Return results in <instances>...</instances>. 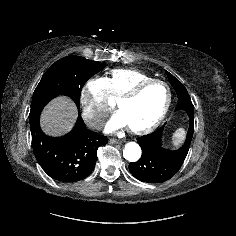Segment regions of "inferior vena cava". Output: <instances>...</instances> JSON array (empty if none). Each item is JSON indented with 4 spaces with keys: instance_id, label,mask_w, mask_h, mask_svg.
<instances>
[{
    "instance_id": "602c4592",
    "label": "inferior vena cava",
    "mask_w": 236,
    "mask_h": 236,
    "mask_svg": "<svg viewBox=\"0 0 236 236\" xmlns=\"http://www.w3.org/2000/svg\"><path fill=\"white\" fill-rule=\"evenodd\" d=\"M101 123V120H99V119H94L93 121H92V126H97V125H99Z\"/></svg>"
}]
</instances>
